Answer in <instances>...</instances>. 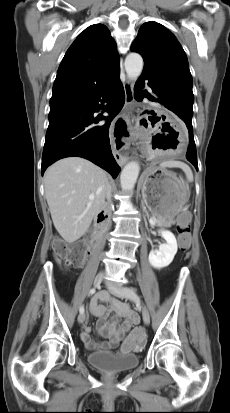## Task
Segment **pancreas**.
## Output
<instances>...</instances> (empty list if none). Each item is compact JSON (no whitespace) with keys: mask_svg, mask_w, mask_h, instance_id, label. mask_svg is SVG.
I'll list each match as a JSON object with an SVG mask.
<instances>
[{"mask_svg":"<svg viewBox=\"0 0 230 413\" xmlns=\"http://www.w3.org/2000/svg\"><path fill=\"white\" fill-rule=\"evenodd\" d=\"M159 226L163 227H171V225L174 223L172 219L170 220H165V221H156Z\"/></svg>","mask_w":230,"mask_h":413,"instance_id":"1","label":"pancreas"}]
</instances>
